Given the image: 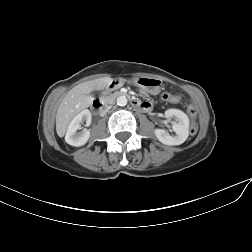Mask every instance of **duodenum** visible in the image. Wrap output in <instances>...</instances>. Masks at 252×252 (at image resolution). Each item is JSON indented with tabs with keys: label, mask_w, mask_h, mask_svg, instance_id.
I'll list each match as a JSON object with an SVG mask.
<instances>
[{
	"label": "duodenum",
	"mask_w": 252,
	"mask_h": 252,
	"mask_svg": "<svg viewBox=\"0 0 252 252\" xmlns=\"http://www.w3.org/2000/svg\"><path fill=\"white\" fill-rule=\"evenodd\" d=\"M118 85H119V83L117 81L110 82L107 87V92L114 91L118 87ZM131 104H132V106H134L137 109H142V102H140L138 100L133 99L131 101ZM92 107H93L94 112L98 113V114L103 113L105 111L104 105L98 100L93 102Z\"/></svg>",
	"instance_id": "obj_1"
}]
</instances>
